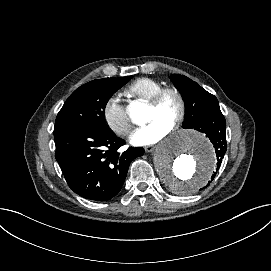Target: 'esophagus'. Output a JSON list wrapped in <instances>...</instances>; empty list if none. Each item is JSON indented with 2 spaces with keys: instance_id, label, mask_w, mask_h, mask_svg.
<instances>
[{
  "instance_id": "34e87169",
  "label": "esophagus",
  "mask_w": 271,
  "mask_h": 271,
  "mask_svg": "<svg viewBox=\"0 0 271 271\" xmlns=\"http://www.w3.org/2000/svg\"><path fill=\"white\" fill-rule=\"evenodd\" d=\"M155 148H156L155 145H147V146L144 147L146 152H152V151L155 150Z\"/></svg>"
}]
</instances>
